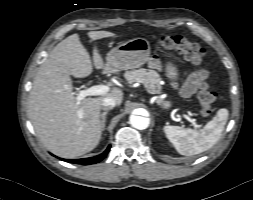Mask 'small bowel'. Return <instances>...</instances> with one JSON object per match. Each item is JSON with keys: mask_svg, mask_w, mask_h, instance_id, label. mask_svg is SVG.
I'll return each mask as SVG.
<instances>
[{"mask_svg": "<svg viewBox=\"0 0 253 200\" xmlns=\"http://www.w3.org/2000/svg\"><path fill=\"white\" fill-rule=\"evenodd\" d=\"M149 66L154 69H159L161 67V62L157 57H152L149 59ZM207 76L208 72L205 70L191 72L184 83L183 94L185 96L192 95L196 91L197 87L207 78Z\"/></svg>", "mask_w": 253, "mask_h": 200, "instance_id": "obj_1", "label": "small bowel"}]
</instances>
